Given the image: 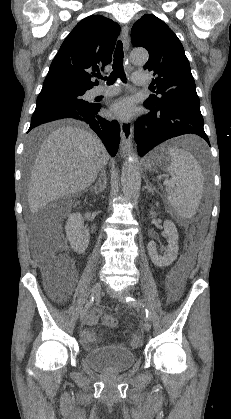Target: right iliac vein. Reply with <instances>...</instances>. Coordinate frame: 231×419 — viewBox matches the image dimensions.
I'll use <instances>...</instances> for the list:
<instances>
[{"instance_id": "right-iliac-vein-1", "label": "right iliac vein", "mask_w": 231, "mask_h": 419, "mask_svg": "<svg viewBox=\"0 0 231 419\" xmlns=\"http://www.w3.org/2000/svg\"><path fill=\"white\" fill-rule=\"evenodd\" d=\"M101 287H102V285H101V283L100 282H97V283H95L94 284V286L92 287V290H91V297H97L98 296V294L100 293V291H101ZM87 312H88V307H85L81 312H80V315H79V318H80V320H83L84 318H85V316H86V314H87Z\"/></svg>"}]
</instances>
